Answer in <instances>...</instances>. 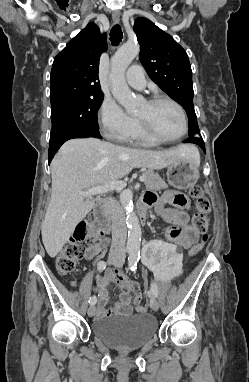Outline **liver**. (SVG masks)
<instances>
[{"label": "liver", "mask_w": 249, "mask_h": 382, "mask_svg": "<svg viewBox=\"0 0 249 382\" xmlns=\"http://www.w3.org/2000/svg\"><path fill=\"white\" fill-rule=\"evenodd\" d=\"M182 157H194L200 163L197 149L188 145L150 151L96 138L65 142L51 163V200L41 226L48 255L57 256L77 224L92 210L94 200L81 192L117 181L133 168L160 170Z\"/></svg>", "instance_id": "obj_1"}]
</instances>
